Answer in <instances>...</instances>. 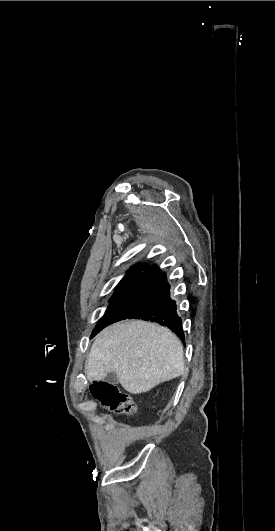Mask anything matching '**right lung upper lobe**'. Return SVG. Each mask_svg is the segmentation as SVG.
Instances as JSON below:
<instances>
[{
    "label": "right lung upper lobe",
    "mask_w": 275,
    "mask_h": 531,
    "mask_svg": "<svg viewBox=\"0 0 275 531\" xmlns=\"http://www.w3.org/2000/svg\"><path fill=\"white\" fill-rule=\"evenodd\" d=\"M147 268H149V266H142V265H140V266L133 267L130 271H142V270L144 271V270H146Z\"/></svg>",
    "instance_id": "cb5924a9"
}]
</instances>
